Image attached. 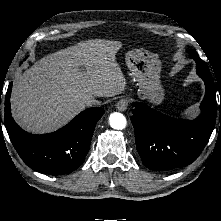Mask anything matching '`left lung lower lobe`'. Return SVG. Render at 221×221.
Returning <instances> with one entry per match:
<instances>
[{"label":"left lung lower lobe","mask_w":221,"mask_h":221,"mask_svg":"<svg viewBox=\"0 0 221 221\" xmlns=\"http://www.w3.org/2000/svg\"><path fill=\"white\" fill-rule=\"evenodd\" d=\"M195 61L197 74L206 86L202 113L197 119L176 120L144 103H133L131 122L136 147L143 164L151 170L167 171L191 164L204 149L214 129L217 111L214 81L203 61L200 58Z\"/></svg>","instance_id":"obj_1"}]
</instances>
